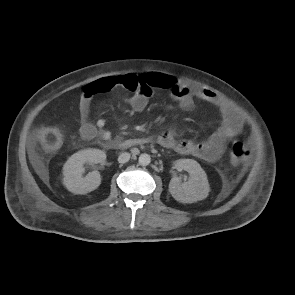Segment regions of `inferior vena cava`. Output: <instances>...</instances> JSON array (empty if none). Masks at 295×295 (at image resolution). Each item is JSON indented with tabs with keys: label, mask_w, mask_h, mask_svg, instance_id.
<instances>
[{
	"label": "inferior vena cava",
	"mask_w": 295,
	"mask_h": 295,
	"mask_svg": "<svg viewBox=\"0 0 295 295\" xmlns=\"http://www.w3.org/2000/svg\"><path fill=\"white\" fill-rule=\"evenodd\" d=\"M130 156H131L130 153H127V152L121 153L118 157V162L119 163H126L129 161Z\"/></svg>",
	"instance_id": "obj_1"
}]
</instances>
